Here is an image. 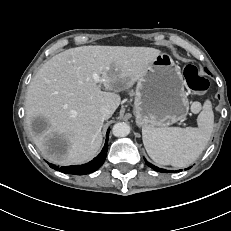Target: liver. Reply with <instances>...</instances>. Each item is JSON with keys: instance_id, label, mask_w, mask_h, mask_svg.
I'll return each instance as SVG.
<instances>
[{"instance_id": "liver-1", "label": "liver", "mask_w": 231, "mask_h": 231, "mask_svg": "<svg viewBox=\"0 0 231 231\" xmlns=\"http://www.w3.org/2000/svg\"><path fill=\"white\" fill-rule=\"evenodd\" d=\"M160 54L151 47L81 46L43 64L30 82L25 100L27 127L43 157L58 165L91 160L103 139L105 119L100 108L107 105L114 112L121 102L118 92L130 89ZM94 73L100 82L94 80ZM38 117L49 123L41 134L31 128ZM55 137L65 142L64 152L50 150L49 142Z\"/></svg>"}]
</instances>
